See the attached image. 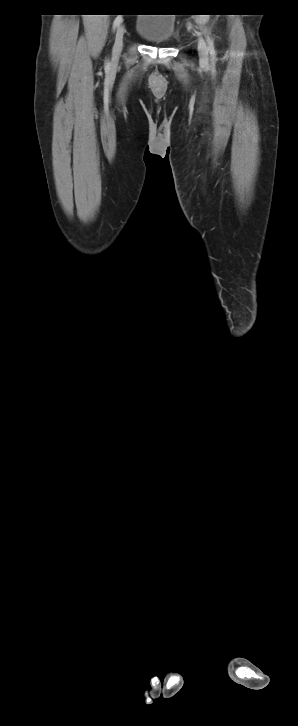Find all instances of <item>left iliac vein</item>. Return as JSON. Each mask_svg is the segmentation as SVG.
Segmentation results:
<instances>
[{"mask_svg": "<svg viewBox=\"0 0 298 726\" xmlns=\"http://www.w3.org/2000/svg\"><path fill=\"white\" fill-rule=\"evenodd\" d=\"M198 52H199L201 61L203 63H207L208 62V49H207L206 42L202 38H200L199 42H198Z\"/></svg>", "mask_w": 298, "mask_h": 726, "instance_id": "4c4485c4", "label": "left iliac vein"}]
</instances>
